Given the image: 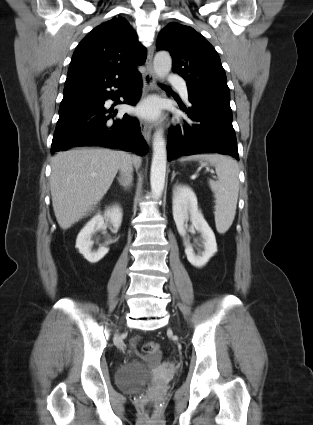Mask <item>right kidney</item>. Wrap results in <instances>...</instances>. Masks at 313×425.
Wrapping results in <instances>:
<instances>
[{"instance_id":"obj_1","label":"right kidney","mask_w":313,"mask_h":425,"mask_svg":"<svg viewBox=\"0 0 313 425\" xmlns=\"http://www.w3.org/2000/svg\"><path fill=\"white\" fill-rule=\"evenodd\" d=\"M122 216V209L119 205H113L108 208L103 215H95L80 231L76 239V248H78L79 252L87 261L90 263H97L109 251L107 245L110 242H106V244L99 247L97 251L91 250L93 245V241L91 240L92 235L103 227L104 219L109 220L114 229L117 230L121 225Z\"/></svg>"}]
</instances>
